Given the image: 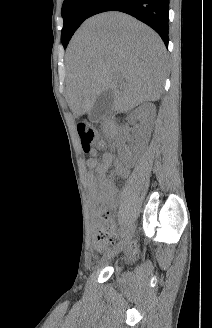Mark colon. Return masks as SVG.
I'll list each match as a JSON object with an SVG mask.
<instances>
[{
    "mask_svg": "<svg viewBox=\"0 0 212 328\" xmlns=\"http://www.w3.org/2000/svg\"><path fill=\"white\" fill-rule=\"evenodd\" d=\"M77 128L81 140L82 150L85 154H90L93 151L98 139L97 132L92 125L87 122H80ZM101 217L105 223L98 228L95 243L98 249L106 250L114 244L116 235L108 225L107 221L109 219V214L104 213Z\"/></svg>",
    "mask_w": 212,
    "mask_h": 328,
    "instance_id": "obj_1",
    "label": "colon"
}]
</instances>
